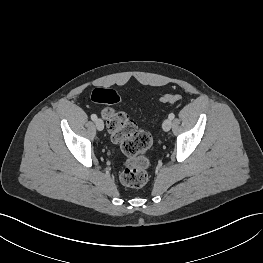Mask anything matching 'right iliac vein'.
<instances>
[{"label": "right iliac vein", "mask_w": 263, "mask_h": 263, "mask_svg": "<svg viewBox=\"0 0 263 263\" xmlns=\"http://www.w3.org/2000/svg\"><path fill=\"white\" fill-rule=\"evenodd\" d=\"M95 125H96V128L99 130V131H102L104 129V123L101 119H96L95 120Z\"/></svg>", "instance_id": "obj_1"}]
</instances>
